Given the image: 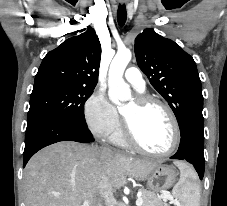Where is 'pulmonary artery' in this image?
Here are the masks:
<instances>
[{
  "instance_id": "pulmonary-artery-1",
  "label": "pulmonary artery",
  "mask_w": 227,
  "mask_h": 206,
  "mask_svg": "<svg viewBox=\"0 0 227 206\" xmlns=\"http://www.w3.org/2000/svg\"><path fill=\"white\" fill-rule=\"evenodd\" d=\"M125 80L138 92H144L145 81L136 67H129L124 74Z\"/></svg>"
}]
</instances>
